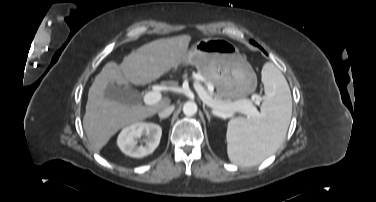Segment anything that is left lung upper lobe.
I'll use <instances>...</instances> for the list:
<instances>
[{"mask_svg":"<svg viewBox=\"0 0 376 202\" xmlns=\"http://www.w3.org/2000/svg\"><path fill=\"white\" fill-rule=\"evenodd\" d=\"M251 43H253L254 45H258L257 43H255L254 41H251Z\"/></svg>","mask_w":376,"mask_h":202,"instance_id":"1","label":"left lung upper lobe"}]
</instances>
